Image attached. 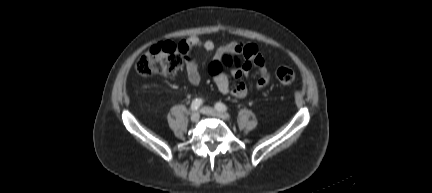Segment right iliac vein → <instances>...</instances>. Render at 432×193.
Listing matches in <instances>:
<instances>
[{"label": "right iliac vein", "mask_w": 432, "mask_h": 193, "mask_svg": "<svg viewBox=\"0 0 432 193\" xmlns=\"http://www.w3.org/2000/svg\"><path fill=\"white\" fill-rule=\"evenodd\" d=\"M199 118H200V114H199V112H197V111L193 112V113L191 114V116H190V120H191L193 123L198 122Z\"/></svg>", "instance_id": "1"}]
</instances>
